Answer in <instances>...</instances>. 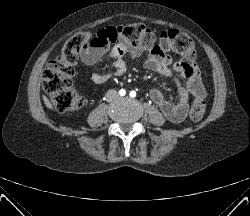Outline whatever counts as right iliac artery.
<instances>
[{
	"label": "right iliac artery",
	"mask_w": 250,
	"mask_h": 216,
	"mask_svg": "<svg viewBox=\"0 0 250 216\" xmlns=\"http://www.w3.org/2000/svg\"><path fill=\"white\" fill-rule=\"evenodd\" d=\"M119 94H120L121 96H124V95L126 94V91H125L124 89H121V90L119 91Z\"/></svg>",
	"instance_id": "obj_1"
}]
</instances>
